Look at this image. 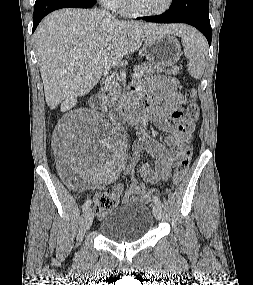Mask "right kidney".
Instances as JSON below:
<instances>
[{
    "mask_svg": "<svg viewBox=\"0 0 253 285\" xmlns=\"http://www.w3.org/2000/svg\"><path fill=\"white\" fill-rule=\"evenodd\" d=\"M75 103H76V99H75V98L66 99V100L62 103V106H61L62 111H65V110L71 108L72 106L75 105Z\"/></svg>",
    "mask_w": 253,
    "mask_h": 285,
    "instance_id": "1",
    "label": "right kidney"
}]
</instances>
